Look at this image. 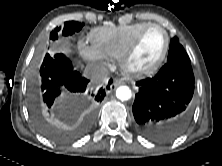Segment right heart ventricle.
<instances>
[{
	"instance_id": "e07e8e85",
	"label": "right heart ventricle",
	"mask_w": 222,
	"mask_h": 166,
	"mask_svg": "<svg viewBox=\"0 0 222 166\" xmlns=\"http://www.w3.org/2000/svg\"><path fill=\"white\" fill-rule=\"evenodd\" d=\"M148 22H138L125 26L94 29L90 34L92 46L105 58L119 59L134 36Z\"/></svg>"
}]
</instances>
